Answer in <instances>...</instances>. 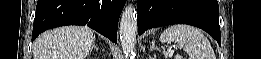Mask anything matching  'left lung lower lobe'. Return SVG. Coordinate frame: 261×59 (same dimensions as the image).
Returning <instances> with one entry per match:
<instances>
[{
	"instance_id": "0a47b994",
	"label": "left lung lower lobe",
	"mask_w": 261,
	"mask_h": 59,
	"mask_svg": "<svg viewBox=\"0 0 261 59\" xmlns=\"http://www.w3.org/2000/svg\"><path fill=\"white\" fill-rule=\"evenodd\" d=\"M169 24L199 27L221 45L217 0H138L139 35Z\"/></svg>"
}]
</instances>
